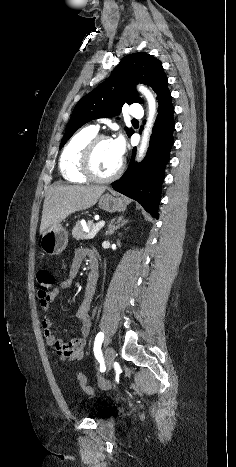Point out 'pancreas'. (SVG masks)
Listing matches in <instances>:
<instances>
[{
  "instance_id": "cf45deb5",
  "label": "pancreas",
  "mask_w": 236,
  "mask_h": 467,
  "mask_svg": "<svg viewBox=\"0 0 236 467\" xmlns=\"http://www.w3.org/2000/svg\"><path fill=\"white\" fill-rule=\"evenodd\" d=\"M87 225L91 229V231L95 227L93 221H88ZM72 236L76 240H83V239H88L89 234H87L83 230L81 223L77 222L76 225L74 226L73 230H72Z\"/></svg>"
}]
</instances>
